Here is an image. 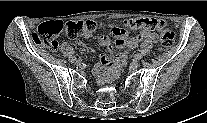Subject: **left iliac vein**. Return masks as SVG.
I'll use <instances>...</instances> for the list:
<instances>
[{
  "mask_svg": "<svg viewBox=\"0 0 207 123\" xmlns=\"http://www.w3.org/2000/svg\"><path fill=\"white\" fill-rule=\"evenodd\" d=\"M138 66H139V63L136 60L132 61L131 64H130V67L132 69H136V68H138Z\"/></svg>",
  "mask_w": 207,
  "mask_h": 123,
  "instance_id": "obj_1",
  "label": "left iliac vein"
}]
</instances>
